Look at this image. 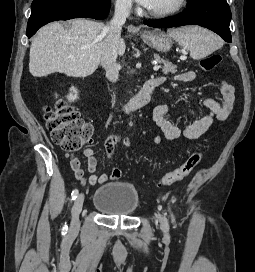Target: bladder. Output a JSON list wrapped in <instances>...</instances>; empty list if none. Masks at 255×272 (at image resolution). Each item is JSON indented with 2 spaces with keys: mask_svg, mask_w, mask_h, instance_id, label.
I'll return each mask as SVG.
<instances>
[{
  "mask_svg": "<svg viewBox=\"0 0 255 272\" xmlns=\"http://www.w3.org/2000/svg\"><path fill=\"white\" fill-rule=\"evenodd\" d=\"M92 204L107 216H130L139 207V193L132 183L109 182L95 191Z\"/></svg>",
  "mask_w": 255,
  "mask_h": 272,
  "instance_id": "1",
  "label": "bladder"
}]
</instances>
